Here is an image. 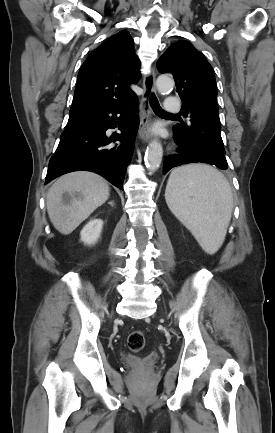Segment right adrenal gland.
I'll return each instance as SVG.
<instances>
[{
    "instance_id": "right-adrenal-gland-1",
    "label": "right adrenal gland",
    "mask_w": 275,
    "mask_h": 433,
    "mask_svg": "<svg viewBox=\"0 0 275 433\" xmlns=\"http://www.w3.org/2000/svg\"><path fill=\"white\" fill-rule=\"evenodd\" d=\"M109 204H110L111 206H114L113 202H109Z\"/></svg>"
}]
</instances>
